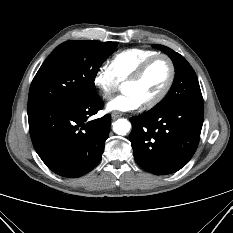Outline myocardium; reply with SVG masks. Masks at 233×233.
<instances>
[{"label":"myocardium","mask_w":233,"mask_h":233,"mask_svg":"<svg viewBox=\"0 0 233 233\" xmlns=\"http://www.w3.org/2000/svg\"><path fill=\"white\" fill-rule=\"evenodd\" d=\"M159 58H163L168 62L169 69H170L169 78H168V81H167L166 85L164 86L163 90L160 92V94L157 97H155L151 101H148V102L142 104L143 107L146 109L153 108V107L157 106L158 104H160L165 99V97L167 96L169 91L171 90L173 83H174V80H175V76H176V69H175V65H174L173 60L166 54H163V53L156 54V55L146 59L144 62H142L137 67V69L132 73V75L129 76L123 83V85H125V84L136 83L137 81H139L140 78L143 76L144 72L146 71V69L155 60H157Z\"/></svg>","instance_id":"1"}]
</instances>
